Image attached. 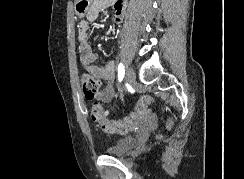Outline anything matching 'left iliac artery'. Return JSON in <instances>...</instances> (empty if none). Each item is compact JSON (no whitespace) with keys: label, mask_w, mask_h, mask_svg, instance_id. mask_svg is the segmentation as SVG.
Returning a JSON list of instances; mask_svg holds the SVG:
<instances>
[{"label":"left iliac artery","mask_w":244,"mask_h":179,"mask_svg":"<svg viewBox=\"0 0 244 179\" xmlns=\"http://www.w3.org/2000/svg\"><path fill=\"white\" fill-rule=\"evenodd\" d=\"M125 69L124 65L122 63H119L118 65V79L121 81L124 77Z\"/></svg>","instance_id":"left-iliac-artery-1"}]
</instances>
